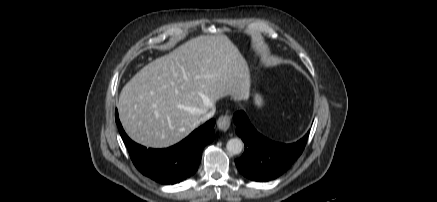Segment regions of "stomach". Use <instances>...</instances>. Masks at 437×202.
<instances>
[{
  "label": "stomach",
  "mask_w": 437,
  "mask_h": 202,
  "mask_svg": "<svg viewBox=\"0 0 437 202\" xmlns=\"http://www.w3.org/2000/svg\"><path fill=\"white\" fill-rule=\"evenodd\" d=\"M255 103L257 106H261L263 104L262 97L260 95H255Z\"/></svg>",
  "instance_id": "1"
}]
</instances>
